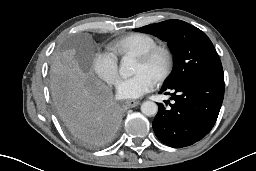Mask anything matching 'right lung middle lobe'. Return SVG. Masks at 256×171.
Masks as SVG:
<instances>
[{"label": "right lung middle lobe", "instance_id": "1", "mask_svg": "<svg viewBox=\"0 0 256 171\" xmlns=\"http://www.w3.org/2000/svg\"><path fill=\"white\" fill-rule=\"evenodd\" d=\"M78 91L73 74L62 61L56 62L51 73V92L54 102Z\"/></svg>", "mask_w": 256, "mask_h": 171}]
</instances>
